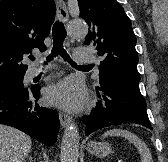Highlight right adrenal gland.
Returning a JSON list of instances; mask_svg holds the SVG:
<instances>
[{
  "mask_svg": "<svg viewBox=\"0 0 168 162\" xmlns=\"http://www.w3.org/2000/svg\"><path fill=\"white\" fill-rule=\"evenodd\" d=\"M27 160H28V162H33V160H32V157H31V156H27Z\"/></svg>",
  "mask_w": 168,
  "mask_h": 162,
  "instance_id": "2a0ac1e0",
  "label": "right adrenal gland"
}]
</instances>
